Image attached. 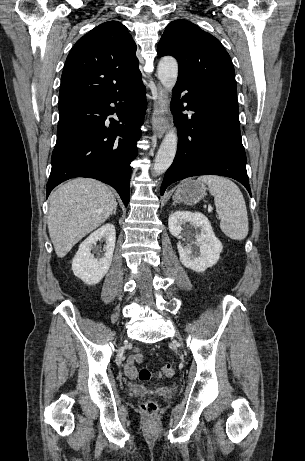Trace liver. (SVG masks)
Returning a JSON list of instances; mask_svg holds the SVG:
<instances>
[{"mask_svg":"<svg viewBox=\"0 0 305 461\" xmlns=\"http://www.w3.org/2000/svg\"><path fill=\"white\" fill-rule=\"evenodd\" d=\"M116 199L103 183L86 178L71 180L50 197L48 229L56 255L63 258L88 233L103 224Z\"/></svg>","mask_w":305,"mask_h":461,"instance_id":"obj_1","label":"liver"}]
</instances>
